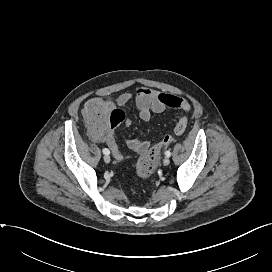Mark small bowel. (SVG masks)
I'll return each instance as SVG.
<instances>
[{"label": "small bowel", "mask_w": 272, "mask_h": 272, "mask_svg": "<svg viewBox=\"0 0 272 272\" xmlns=\"http://www.w3.org/2000/svg\"><path fill=\"white\" fill-rule=\"evenodd\" d=\"M131 101L135 103L138 114L144 121H149L153 113H162L166 109L181 110L183 115L176 123L174 133L175 135L179 136L185 131L187 125L183 126V128L182 125L184 122L188 121V113L190 111V104L185 99L173 94L162 93L147 87H139L136 89L134 94H121L117 98L116 104L118 106H124ZM129 124L130 122L127 121L126 125ZM93 139L99 142H104L117 160L121 161L126 158V156L120 151L112 130L109 129L102 136H93ZM149 145L150 143L148 141L140 139H131L128 141L129 148L136 153L146 152Z\"/></svg>", "instance_id": "c3829d8e"}]
</instances>
